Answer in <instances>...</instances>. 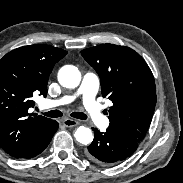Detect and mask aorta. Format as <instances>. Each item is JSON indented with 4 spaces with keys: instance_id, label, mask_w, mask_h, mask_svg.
I'll return each mask as SVG.
<instances>
[{
    "instance_id": "1",
    "label": "aorta",
    "mask_w": 183,
    "mask_h": 183,
    "mask_svg": "<svg viewBox=\"0 0 183 183\" xmlns=\"http://www.w3.org/2000/svg\"><path fill=\"white\" fill-rule=\"evenodd\" d=\"M59 83L66 88H76L81 81V74L77 67L72 65L63 66L58 72ZM76 140L84 145H88L93 140L92 131L88 127L80 126L74 134Z\"/></svg>"
}]
</instances>
